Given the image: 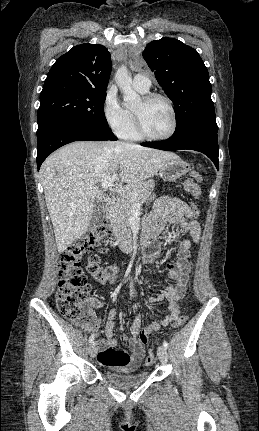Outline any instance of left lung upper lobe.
<instances>
[{
	"instance_id": "5c2ea615",
	"label": "left lung upper lobe",
	"mask_w": 259,
	"mask_h": 431,
	"mask_svg": "<svg viewBox=\"0 0 259 431\" xmlns=\"http://www.w3.org/2000/svg\"><path fill=\"white\" fill-rule=\"evenodd\" d=\"M143 57L175 106V132L197 124L217 127L209 74L195 49L164 37L150 42Z\"/></svg>"
}]
</instances>
